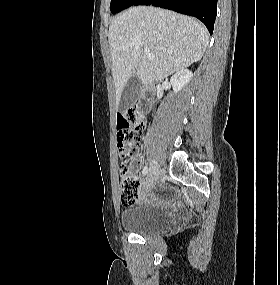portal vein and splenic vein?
I'll return each mask as SVG.
<instances>
[{
	"label": "portal vein and splenic vein",
	"instance_id": "portal-vein-and-splenic-vein-1",
	"mask_svg": "<svg viewBox=\"0 0 280 285\" xmlns=\"http://www.w3.org/2000/svg\"><path fill=\"white\" fill-rule=\"evenodd\" d=\"M144 54L146 57L150 60H153L155 58L154 54L150 52L148 48H144Z\"/></svg>",
	"mask_w": 280,
	"mask_h": 285
}]
</instances>
